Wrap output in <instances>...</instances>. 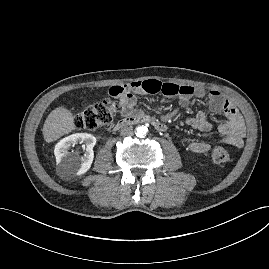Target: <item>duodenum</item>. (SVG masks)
I'll use <instances>...</instances> for the list:
<instances>
[{
  "mask_svg": "<svg viewBox=\"0 0 269 269\" xmlns=\"http://www.w3.org/2000/svg\"><path fill=\"white\" fill-rule=\"evenodd\" d=\"M141 123H149L151 125H153L158 131H166V125L163 124L162 122H160L159 120L147 116V115H142V114H136V115H131L128 117H125L121 120H119L115 126L114 129L115 130H120L123 127L126 126H131V125H135V124H141Z\"/></svg>",
  "mask_w": 269,
  "mask_h": 269,
  "instance_id": "obj_1",
  "label": "duodenum"
}]
</instances>
